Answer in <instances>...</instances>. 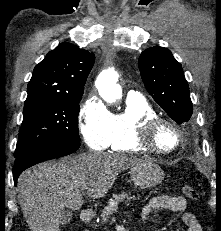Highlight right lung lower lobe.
Returning a JSON list of instances; mask_svg holds the SVG:
<instances>
[{
  "label": "right lung lower lobe",
  "instance_id": "98d812e1",
  "mask_svg": "<svg viewBox=\"0 0 221 231\" xmlns=\"http://www.w3.org/2000/svg\"><path fill=\"white\" fill-rule=\"evenodd\" d=\"M79 146L71 144H52L35 147L16 157L13 167V179L16 185L19 175L25 169L54 158L69 155L75 152Z\"/></svg>",
  "mask_w": 221,
  "mask_h": 231
}]
</instances>
